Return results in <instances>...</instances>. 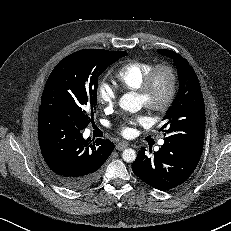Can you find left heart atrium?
I'll return each instance as SVG.
<instances>
[{"label":"left heart atrium","mask_w":231,"mask_h":231,"mask_svg":"<svg viewBox=\"0 0 231 231\" xmlns=\"http://www.w3.org/2000/svg\"><path fill=\"white\" fill-rule=\"evenodd\" d=\"M149 124V118L146 115H138L134 118L122 123L119 127L121 134L125 137L133 136L135 133V126H146Z\"/></svg>","instance_id":"left-heart-atrium-1"}]
</instances>
